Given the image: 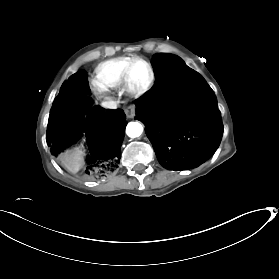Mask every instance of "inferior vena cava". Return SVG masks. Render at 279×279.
Listing matches in <instances>:
<instances>
[{
  "instance_id": "602c4592",
  "label": "inferior vena cava",
  "mask_w": 279,
  "mask_h": 279,
  "mask_svg": "<svg viewBox=\"0 0 279 279\" xmlns=\"http://www.w3.org/2000/svg\"><path fill=\"white\" fill-rule=\"evenodd\" d=\"M103 107L111 108V109H116L117 108V102L114 101H105L103 103Z\"/></svg>"
}]
</instances>
